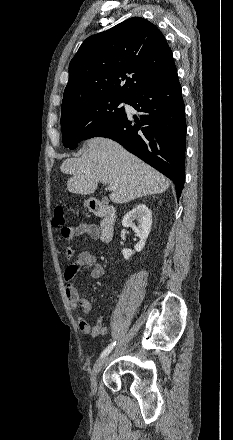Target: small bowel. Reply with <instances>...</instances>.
<instances>
[{
    "label": "small bowel",
    "mask_w": 233,
    "mask_h": 440,
    "mask_svg": "<svg viewBox=\"0 0 233 440\" xmlns=\"http://www.w3.org/2000/svg\"><path fill=\"white\" fill-rule=\"evenodd\" d=\"M61 235L67 241H75L83 236L98 240L99 228L94 223H81L74 227L62 228ZM65 253L69 260L74 256V250L71 247H67ZM82 271H88L90 279H98L105 274V268L97 262V257L92 251L86 250L78 254L75 262H70L65 269L63 280L69 305L72 310L76 311L80 308L82 314H87L91 310V303L80 295L75 286V278ZM76 319L79 330L86 336L96 338L107 335L109 332L102 318L97 319L93 326L80 314H77Z\"/></svg>",
    "instance_id": "1"
}]
</instances>
